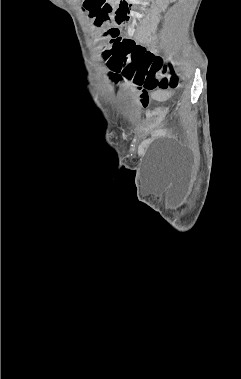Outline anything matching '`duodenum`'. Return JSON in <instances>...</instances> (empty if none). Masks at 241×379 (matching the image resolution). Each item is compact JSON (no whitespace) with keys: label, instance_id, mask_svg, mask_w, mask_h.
<instances>
[{"label":"duodenum","instance_id":"410a0bca","mask_svg":"<svg viewBox=\"0 0 241 379\" xmlns=\"http://www.w3.org/2000/svg\"><path fill=\"white\" fill-rule=\"evenodd\" d=\"M109 7L111 9V18L117 22L121 23L128 19L130 12V0H120L119 2H114L115 0H109Z\"/></svg>","mask_w":241,"mask_h":379}]
</instances>
